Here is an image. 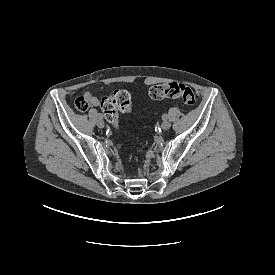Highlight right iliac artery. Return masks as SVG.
I'll return each instance as SVG.
<instances>
[{
  "mask_svg": "<svg viewBox=\"0 0 275 275\" xmlns=\"http://www.w3.org/2000/svg\"><path fill=\"white\" fill-rule=\"evenodd\" d=\"M97 117H98L99 119H102V118H103V115H102L101 113H97Z\"/></svg>",
  "mask_w": 275,
  "mask_h": 275,
  "instance_id": "obj_1",
  "label": "right iliac artery"
}]
</instances>
